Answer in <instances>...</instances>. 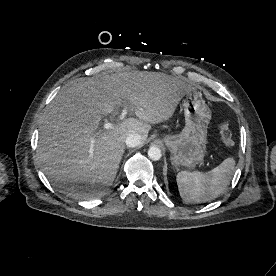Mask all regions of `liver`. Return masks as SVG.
Wrapping results in <instances>:
<instances>
[{"mask_svg":"<svg viewBox=\"0 0 276 276\" xmlns=\"http://www.w3.org/2000/svg\"><path fill=\"white\" fill-rule=\"evenodd\" d=\"M193 87L176 77L126 71L97 79L80 78L64 86L43 114L38 158L53 185L76 199L100 197L115 180L125 140L131 133L145 142L150 124L168 120ZM120 106L129 117L100 129L102 116Z\"/></svg>","mask_w":276,"mask_h":276,"instance_id":"6515ba94","label":"liver"}]
</instances>
